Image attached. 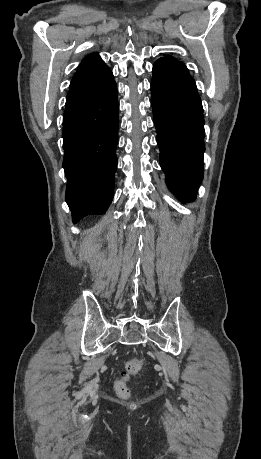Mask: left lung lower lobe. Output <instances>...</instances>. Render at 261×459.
<instances>
[{"mask_svg":"<svg viewBox=\"0 0 261 459\" xmlns=\"http://www.w3.org/2000/svg\"><path fill=\"white\" fill-rule=\"evenodd\" d=\"M151 104L160 165L170 191L193 201L203 179L204 118L195 81L185 65L157 61Z\"/></svg>","mask_w":261,"mask_h":459,"instance_id":"left-lung-lower-lobe-1","label":"left lung lower lobe"}]
</instances>
